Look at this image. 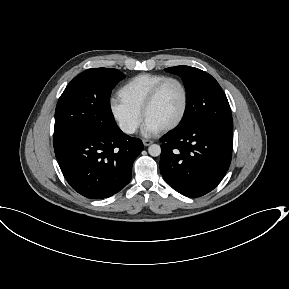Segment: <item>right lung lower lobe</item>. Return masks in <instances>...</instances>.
<instances>
[{"mask_svg": "<svg viewBox=\"0 0 289 289\" xmlns=\"http://www.w3.org/2000/svg\"><path fill=\"white\" fill-rule=\"evenodd\" d=\"M54 150L70 186L87 198L102 199L129 183L133 162L143 150V144L116 126L87 131Z\"/></svg>", "mask_w": 289, "mask_h": 289, "instance_id": "98d812e1", "label": "right lung lower lobe"}]
</instances>
